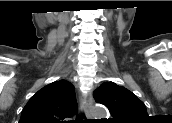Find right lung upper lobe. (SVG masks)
Instances as JSON below:
<instances>
[{
  "label": "right lung upper lobe",
  "mask_w": 172,
  "mask_h": 123,
  "mask_svg": "<svg viewBox=\"0 0 172 123\" xmlns=\"http://www.w3.org/2000/svg\"><path fill=\"white\" fill-rule=\"evenodd\" d=\"M77 110L74 86L67 80L50 83L27 102L19 123H65Z\"/></svg>",
  "instance_id": "1"
}]
</instances>
